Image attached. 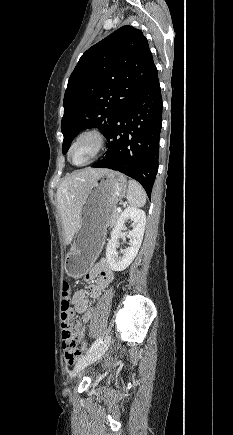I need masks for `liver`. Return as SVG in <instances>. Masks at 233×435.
Listing matches in <instances>:
<instances>
[{"instance_id":"obj_1","label":"liver","mask_w":233,"mask_h":435,"mask_svg":"<svg viewBox=\"0 0 233 435\" xmlns=\"http://www.w3.org/2000/svg\"><path fill=\"white\" fill-rule=\"evenodd\" d=\"M107 171L103 168H85L68 175L59 185L57 202L67 245L71 243L80 226L82 206L90 187Z\"/></svg>"}]
</instances>
